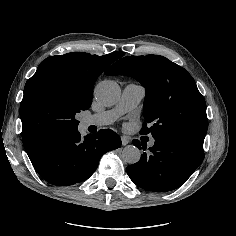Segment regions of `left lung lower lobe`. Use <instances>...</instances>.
I'll return each mask as SVG.
<instances>
[{"label":"left lung lower lobe","instance_id":"1","mask_svg":"<svg viewBox=\"0 0 236 236\" xmlns=\"http://www.w3.org/2000/svg\"><path fill=\"white\" fill-rule=\"evenodd\" d=\"M155 143L143 152L140 160L127 166L130 179L139 187L155 192H166L180 187L204 159L203 146L181 138L160 134ZM133 144L146 150V143L134 139Z\"/></svg>","mask_w":236,"mask_h":236}]
</instances>
